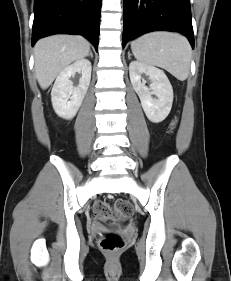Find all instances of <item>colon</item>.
<instances>
[{"label": "colon", "instance_id": "colon-1", "mask_svg": "<svg viewBox=\"0 0 231 281\" xmlns=\"http://www.w3.org/2000/svg\"><path fill=\"white\" fill-rule=\"evenodd\" d=\"M176 119L171 124L174 129ZM94 214L108 223L118 219L128 218L133 214V206L123 200H116L112 203L98 201L94 204ZM101 247L108 252H116L124 246L123 238L117 233H105L100 238Z\"/></svg>", "mask_w": 231, "mask_h": 281}]
</instances>
